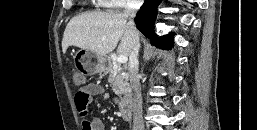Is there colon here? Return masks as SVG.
<instances>
[{
	"mask_svg": "<svg viewBox=\"0 0 257 130\" xmlns=\"http://www.w3.org/2000/svg\"><path fill=\"white\" fill-rule=\"evenodd\" d=\"M72 80L75 85L81 86L85 83L86 78L84 73L81 70L76 69L72 73Z\"/></svg>",
	"mask_w": 257,
	"mask_h": 130,
	"instance_id": "colon-1",
	"label": "colon"
}]
</instances>
